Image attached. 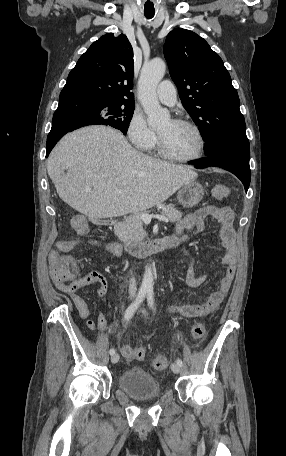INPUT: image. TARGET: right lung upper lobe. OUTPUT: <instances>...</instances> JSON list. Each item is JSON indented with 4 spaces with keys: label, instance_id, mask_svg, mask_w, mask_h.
Masks as SVG:
<instances>
[{
    "label": "right lung upper lobe",
    "instance_id": "cb5924a9",
    "mask_svg": "<svg viewBox=\"0 0 286 456\" xmlns=\"http://www.w3.org/2000/svg\"><path fill=\"white\" fill-rule=\"evenodd\" d=\"M133 49L124 34L95 41L71 70L63 90H76L112 102L134 104Z\"/></svg>",
    "mask_w": 286,
    "mask_h": 456
}]
</instances>
